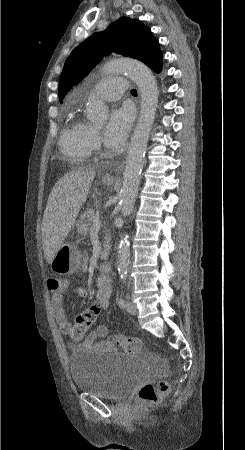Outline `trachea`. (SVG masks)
<instances>
[{
    "label": "trachea",
    "instance_id": "trachea-1",
    "mask_svg": "<svg viewBox=\"0 0 245 450\" xmlns=\"http://www.w3.org/2000/svg\"><path fill=\"white\" fill-rule=\"evenodd\" d=\"M131 93H132L133 95H137V91H136L135 89H132V90H131Z\"/></svg>",
    "mask_w": 245,
    "mask_h": 450
}]
</instances>
